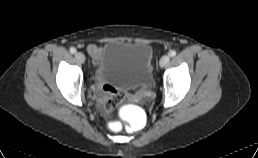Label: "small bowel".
Returning a JSON list of instances; mask_svg holds the SVG:
<instances>
[{
  "mask_svg": "<svg viewBox=\"0 0 258 158\" xmlns=\"http://www.w3.org/2000/svg\"><path fill=\"white\" fill-rule=\"evenodd\" d=\"M87 51L90 55H92L93 57L97 58L100 53L101 50L98 46L91 44L87 47ZM104 90H105V96H109L110 99H112V97L116 94V89L113 86L110 85H106L104 86Z\"/></svg>",
  "mask_w": 258,
  "mask_h": 158,
  "instance_id": "1",
  "label": "small bowel"
}]
</instances>
